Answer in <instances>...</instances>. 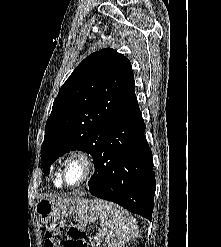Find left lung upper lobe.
<instances>
[{
  "label": "left lung upper lobe",
  "instance_id": "5c2ea615",
  "mask_svg": "<svg viewBox=\"0 0 221 247\" xmlns=\"http://www.w3.org/2000/svg\"><path fill=\"white\" fill-rule=\"evenodd\" d=\"M130 61L113 49L87 56L61 87L45 126L41 146L44 174L62 154L96 155L105 128L139 110Z\"/></svg>",
  "mask_w": 221,
  "mask_h": 247
}]
</instances>
